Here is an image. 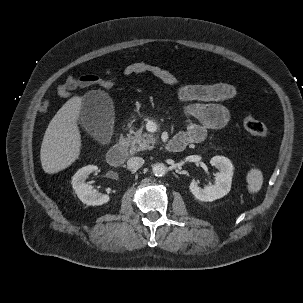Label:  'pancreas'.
<instances>
[{
    "mask_svg": "<svg viewBox=\"0 0 303 303\" xmlns=\"http://www.w3.org/2000/svg\"><path fill=\"white\" fill-rule=\"evenodd\" d=\"M130 146V153L134 154L139 151L152 149L157 141V138L152 134L143 133V129L129 130V134L125 139Z\"/></svg>",
    "mask_w": 303,
    "mask_h": 303,
    "instance_id": "cf45deb5",
    "label": "pancreas"
}]
</instances>
